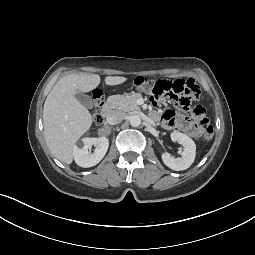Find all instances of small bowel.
Here are the masks:
<instances>
[{
	"instance_id": "small-bowel-1",
	"label": "small bowel",
	"mask_w": 255,
	"mask_h": 255,
	"mask_svg": "<svg viewBox=\"0 0 255 255\" xmlns=\"http://www.w3.org/2000/svg\"><path fill=\"white\" fill-rule=\"evenodd\" d=\"M153 117L159 118L163 126L168 130L178 129L192 137H199L202 133V126L189 120L182 113L167 110L163 113L153 112Z\"/></svg>"
}]
</instances>
